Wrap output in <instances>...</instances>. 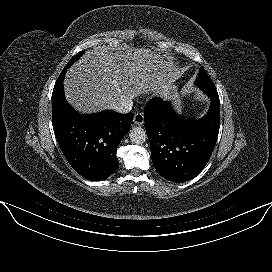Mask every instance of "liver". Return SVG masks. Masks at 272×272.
<instances>
[{
	"label": "liver",
	"instance_id": "liver-1",
	"mask_svg": "<svg viewBox=\"0 0 272 272\" xmlns=\"http://www.w3.org/2000/svg\"><path fill=\"white\" fill-rule=\"evenodd\" d=\"M169 70L163 58L149 49L98 46L68 69L65 95L83 113L111 109L121 99L149 92L167 96Z\"/></svg>",
	"mask_w": 272,
	"mask_h": 272
}]
</instances>
